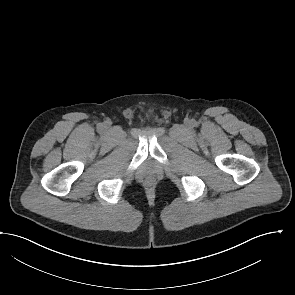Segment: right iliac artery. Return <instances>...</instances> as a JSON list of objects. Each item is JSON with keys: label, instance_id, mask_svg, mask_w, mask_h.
I'll use <instances>...</instances> for the list:
<instances>
[{"label": "right iliac artery", "instance_id": "1", "mask_svg": "<svg viewBox=\"0 0 295 295\" xmlns=\"http://www.w3.org/2000/svg\"><path fill=\"white\" fill-rule=\"evenodd\" d=\"M98 127L101 129L103 127V125L102 124H99Z\"/></svg>", "mask_w": 295, "mask_h": 295}]
</instances>
